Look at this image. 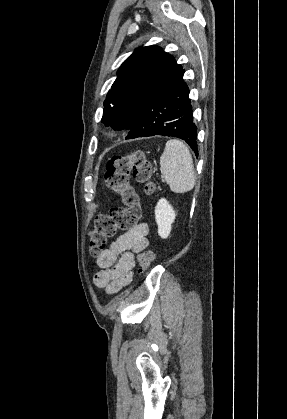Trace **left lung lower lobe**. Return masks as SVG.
<instances>
[{"instance_id":"0a47b994","label":"left lung lower lobe","mask_w":287,"mask_h":419,"mask_svg":"<svg viewBox=\"0 0 287 419\" xmlns=\"http://www.w3.org/2000/svg\"><path fill=\"white\" fill-rule=\"evenodd\" d=\"M177 80L146 101L135 116L126 139L154 135L177 137L184 140L198 156L197 128L193 122L189 88Z\"/></svg>"}]
</instances>
